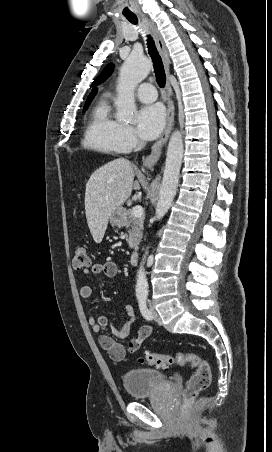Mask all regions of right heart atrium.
<instances>
[{"label":"right heart atrium","mask_w":272,"mask_h":452,"mask_svg":"<svg viewBox=\"0 0 272 452\" xmlns=\"http://www.w3.org/2000/svg\"><path fill=\"white\" fill-rule=\"evenodd\" d=\"M119 138L124 152L132 150L139 144L135 130L129 126H121Z\"/></svg>","instance_id":"right-heart-atrium-1"}]
</instances>
